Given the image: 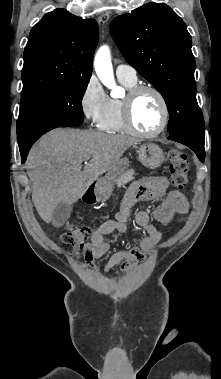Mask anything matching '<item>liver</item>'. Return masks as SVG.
Returning <instances> with one entry per match:
<instances>
[{
	"mask_svg": "<svg viewBox=\"0 0 221 379\" xmlns=\"http://www.w3.org/2000/svg\"><path fill=\"white\" fill-rule=\"evenodd\" d=\"M137 142L130 136L93 130L55 129L45 134L31 148L26 162L32 201L42 220H52L58 203L77 202ZM86 159L90 161L81 170Z\"/></svg>",
	"mask_w": 221,
	"mask_h": 379,
	"instance_id": "liver-1",
	"label": "liver"
}]
</instances>
